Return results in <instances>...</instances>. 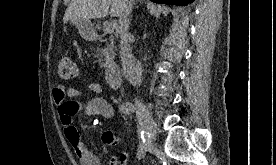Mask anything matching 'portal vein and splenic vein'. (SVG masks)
Listing matches in <instances>:
<instances>
[{"label":"portal vein and splenic vein","mask_w":276,"mask_h":165,"mask_svg":"<svg viewBox=\"0 0 276 165\" xmlns=\"http://www.w3.org/2000/svg\"><path fill=\"white\" fill-rule=\"evenodd\" d=\"M116 27H117L116 23H107L104 25V32L110 34L114 31Z\"/></svg>","instance_id":"1"}]
</instances>
